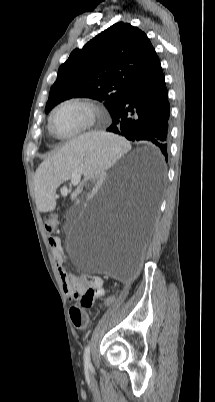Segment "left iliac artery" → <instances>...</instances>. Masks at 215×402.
<instances>
[{"instance_id": "obj_1", "label": "left iliac artery", "mask_w": 215, "mask_h": 402, "mask_svg": "<svg viewBox=\"0 0 215 402\" xmlns=\"http://www.w3.org/2000/svg\"><path fill=\"white\" fill-rule=\"evenodd\" d=\"M83 359H84L85 368H90L92 365H91V361H90V345L89 344L85 347Z\"/></svg>"}]
</instances>
